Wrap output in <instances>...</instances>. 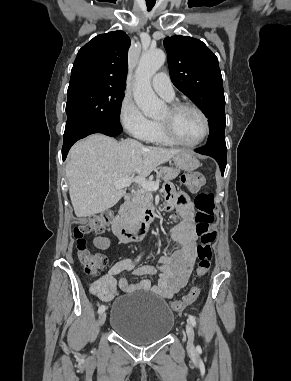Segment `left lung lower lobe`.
I'll return each mask as SVG.
<instances>
[{
  "label": "left lung lower lobe",
  "mask_w": 291,
  "mask_h": 381,
  "mask_svg": "<svg viewBox=\"0 0 291 381\" xmlns=\"http://www.w3.org/2000/svg\"><path fill=\"white\" fill-rule=\"evenodd\" d=\"M197 153L213 157L219 164L222 175L224 174L227 161V148L225 142L207 143L195 150Z\"/></svg>",
  "instance_id": "left-lung-lower-lobe-1"
}]
</instances>
